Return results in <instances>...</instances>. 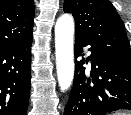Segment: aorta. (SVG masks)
<instances>
[{
	"mask_svg": "<svg viewBox=\"0 0 131 115\" xmlns=\"http://www.w3.org/2000/svg\"><path fill=\"white\" fill-rule=\"evenodd\" d=\"M74 20L71 15H61L55 25V54L59 87L67 90L74 77L73 54Z\"/></svg>",
	"mask_w": 131,
	"mask_h": 115,
	"instance_id": "1",
	"label": "aorta"
}]
</instances>
